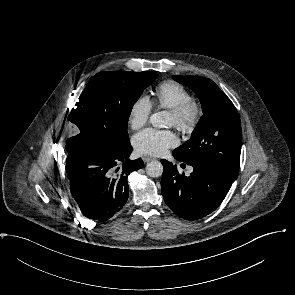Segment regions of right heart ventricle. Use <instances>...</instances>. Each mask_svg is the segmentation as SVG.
Segmentation results:
<instances>
[{"label":"right heart ventricle","mask_w":295,"mask_h":295,"mask_svg":"<svg viewBox=\"0 0 295 295\" xmlns=\"http://www.w3.org/2000/svg\"><path fill=\"white\" fill-rule=\"evenodd\" d=\"M192 99L189 90L180 83L163 81L155 88V102L165 109H175Z\"/></svg>","instance_id":"1"}]
</instances>
